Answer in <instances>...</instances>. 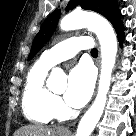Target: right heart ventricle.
Returning a JSON list of instances; mask_svg holds the SVG:
<instances>
[{
	"label": "right heart ventricle",
	"instance_id": "right-heart-ventricle-1",
	"mask_svg": "<svg viewBox=\"0 0 136 136\" xmlns=\"http://www.w3.org/2000/svg\"><path fill=\"white\" fill-rule=\"evenodd\" d=\"M49 69L50 66L39 60L26 77L22 109L26 118L34 123L46 124L56 116L53 106L55 96L45 84Z\"/></svg>",
	"mask_w": 136,
	"mask_h": 136
}]
</instances>
